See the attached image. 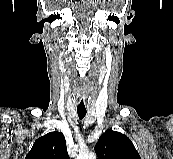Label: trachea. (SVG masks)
I'll use <instances>...</instances> for the list:
<instances>
[{
	"label": "trachea",
	"mask_w": 173,
	"mask_h": 159,
	"mask_svg": "<svg viewBox=\"0 0 173 159\" xmlns=\"http://www.w3.org/2000/svg\"><path fill=\"white\" fill-rule=\"evenodd\" d=\"M77 113L80 119H83L87 113L86 109L77 108Z\"/></svg>",
	"instance_id": "obj_1"
}]
</instances>
